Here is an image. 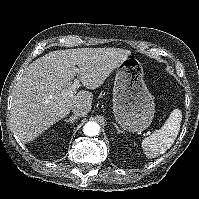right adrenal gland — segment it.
<instances>
[{
    "label": "right adrenal gland",
    "mask_w": 199,
    "mask_h": 199,
    "mask_svg": "<svg viewBox=\"0 0 199 199\" xmlns=\"http://www.w3.org/2000/svg\"><path fill=\"white\" fill-rule=\"evenodd\" d=\"M77 119H78V117H76V116H70L69 119H65L64 121L70 122L71 124H73L74 121Z\"/></svg>",
    "instance_id": "right-adrenal-gland-1"
}]
</instances>
